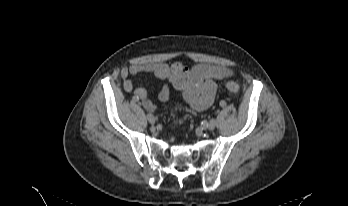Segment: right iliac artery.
Instances as JSON below:
<instances>
[{
	"mask_svg": "<svg viewBox=\"0 0 348 206\" xmlns=\"http://www.w3.org/2000/svg\"><path fill=\"white\" fill-rule=\"evenodd\" d=\"M140 101V98L138 96H133V102L138 103Z\"/></svg>",
	"mask_w": 348,
	"mask_h": 206,
	"instance_id": "right-iliac-artery-1",
	"label": "right iliac artery"
}]
</instances>
